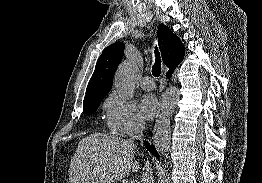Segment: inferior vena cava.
I'll return each mask as SVG.
<instances>
[{
	"mask_svg": "<svg viewBox=\"0 0 262 183\" xmlns=\"http://www.w3.org/2000/svg\"><path fill=\"white\" fill-rule=\"evenodd\" d=\"M145 129V122L142 119H137L134 125V133L130 137L131 141L134 140H143V131ZM141 183H154V177L150 163L146 161L143 168L142 180Z\"/></svg>",
	"mask_w": 262,
	"mask_h": 183,
	"instance_id": "1",
	"label": "inferior vena cava"
}]
</instances>
